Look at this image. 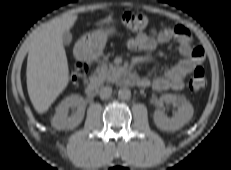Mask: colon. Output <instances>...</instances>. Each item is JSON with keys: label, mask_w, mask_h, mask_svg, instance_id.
<instances>
[{"label": "colon", "mask_w": 231, "mask_h": 170, "mask_svg": "<svg viewBox=\"0 0 231 170\" xmlns=\"http://www.w3.org/2000/svg\"><path fill=\"white\" fill-rule=\"evenodd\" d=\"M122 24L131 32L139 33L149 25V18L142 13L125 12L122 15ZM87 66L78 61L72 68L71 77L73 82L78 83L85 77ZM207 86V78L202 67H196L189 81V89L192 92L203 90Z\"/></svg>", "instance_id": "colon-1"}]
</instances>
